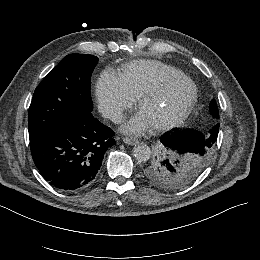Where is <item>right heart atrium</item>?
Wrapping results in <instances>:
<instances>
[{"label":"right heart atrium","instance_id":"obj_1","mask_svg":"<svg viewBox=\"0 0 260 260\" xmlns=\"http://www.w3.org/2000/svg\"><path fill=\"white\" fill-rule=\"evenodd\" d=\"M96 94L102 112L107 115L116 114L132 104L123 92L117 76L108 70L100 74Z\"/></svg>","mask_w":260,"mask_h":260}]
</instances>
